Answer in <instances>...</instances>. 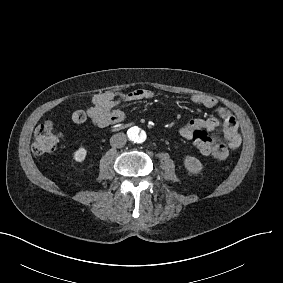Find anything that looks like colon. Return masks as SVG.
Segmentation results:
<instances>
[{
  "instance_id": "obj_1",
  "label": "colon",
  "mask_w": 283,
  "mask_h": 283,
  "mask_svg": "<svg viewBox=\"0 0 283 283\" xmlns=\"http://www.w3.org/2000/svg\"><path fill=\"white\" fill-rule=\"evenodd\" d=\"M88 109H78L72 114V119L77 124H82L90 118ZM191 136L195 147L202 153H213L214 140L205 129L194 128ZM60 133L52 122H43L35 129L32 150L35 154L42 155L55 150Z\"/></svg>"
}]
</instances>
